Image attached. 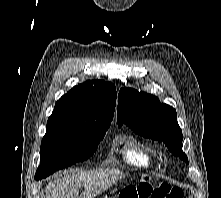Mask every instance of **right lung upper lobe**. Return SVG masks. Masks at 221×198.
Here are the masks:
<instances>
[{"label":"right lung upper lobe","mask_w":221,"mask_h":198,"mask_svg":"<svg viewBox=\"0 0 221 198\" xmlns=\"http://www.w3.org/2000/svg\"><path fill=\"white\" fill-rule=\"evenodd\" d=\"M116 105L114 84L87 81L62 96L48 118L46 132L88 133L109 127Z\"/></svg>","instance_id":"obj_1"}]
</instances>
